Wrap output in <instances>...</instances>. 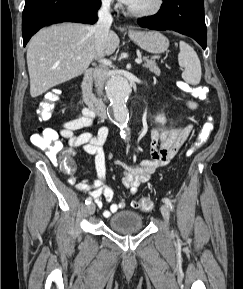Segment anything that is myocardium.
Segmentation results:
<instances>
[{
    "label": "myocardium",
    "instance_id": "obj_1",
    "mask_svg": "<svg viewBox=\"0 0 243 289\" xmlns=\"http://www.w3.org/2000/svg\"><path fill=\"white\" fill-rule=\"evenodd\" d=\"M165 5V0H155L153 5L144 10H135L130 6L127 7L128 14L134 17H149L159 13Z\"/></svg>",
    "mask_w": 243,
    "mask_h": 289
}]
</instances>
